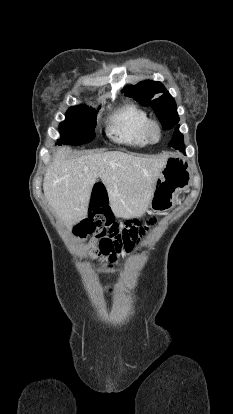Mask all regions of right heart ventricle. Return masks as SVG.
I'll use <instances>...</instances> for the list:
<instances>
[{"mask_svg":"<svg viewBox=\"0 0 233 414\" xmlns=\"http://www.w3.org/2000/svg\"><path fill=\"white\" fill-rule=\"evenodd\" d=\"M149 116L145 110L135 104L121 107L110 118L109 131L114 141L134 147H142L150 141L145 127Z\"/></svg>","mask_w":233,"mask_h":414,"instance_id":"1","label":"right heart ventricle"}]
</instances>
